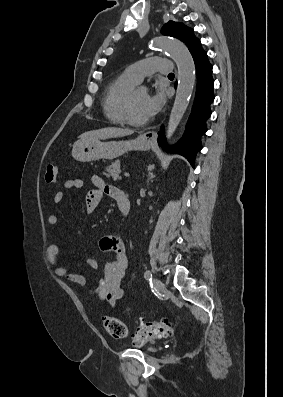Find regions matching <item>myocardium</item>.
I'll use <instances>...</instances> for the list:
<instances>
[{
	"mask_svg": "<svg viewBox=\"0 0 283 397\" xmlns=\"http://www.w3.org/2000/svg\"><path fill=\"white\" fill-rule=\"evenodd\" d=\"M125 121L132 126H143L149 122V119L138 120L133 114V92L128 95L124 106Z\"/></svg>",
	"mask_w": 283,
	"mask_h": 397,
	"instance_id": "f54148a6",
	"label": "myocardium"
}]
</instances>
